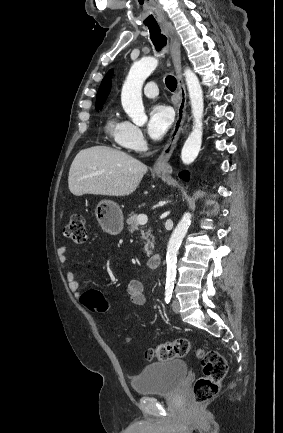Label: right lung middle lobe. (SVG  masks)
I'll list each match as a JSON object with an SVG mask.
<instances>
[{
	"mask_svg": "<svg viewBox=\"0 0 283 433\" xmlns=\"http://www.w3.org/2000/svg\"><path fill=\"white\" fill-rule=\"evenodd\" d=\"M102 109V107L97 108V110Z\"/></svg>",
	"mask_w": 283,
	"mask_h": 433,
	"instance_id": "right-lung-middle-lobe-1",
	"label": "right lung middle lobe"
}]
</instances>
